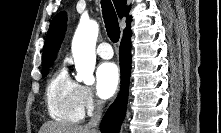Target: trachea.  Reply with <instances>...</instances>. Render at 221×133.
<instances>
[{"label":"trachea","mask_w":221,"mask_h":133,"mask_svg":"<svg viewBox=\"0 0 221 133\" xmlns=\"http://www.w3.org/2000/svg\"><path fill=\"white\" fill-rule=\"evenodd\" d=\"M101 7L108 36L112 42H118L120 38V27L111 0H101Z\"/></svg>","instance_id":"obj_1"}]
</instances>
